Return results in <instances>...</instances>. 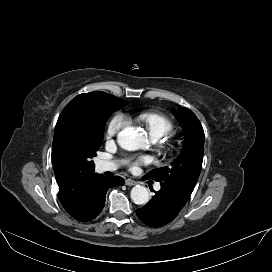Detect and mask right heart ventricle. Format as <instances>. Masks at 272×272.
<instances>
[{
  "mask_svg": "<svg viewBox=\"0 0 272 272\" xmlns=\"http://www.w3.org/2000/svg\"><path fill=\"white\" fill-rule=\"evenodd\" d=\"M139 118L145 123L152 138L155 137L160 139L171 133L173 130L172 122L160 114L145 112L142 113Z\"/></svg>",
  "mask_w": 272,
  "mask_h": 272,
  "instance_id": "e07e8e85",
  "label": "right heart ventricle"
}]
</instances>
